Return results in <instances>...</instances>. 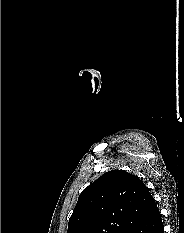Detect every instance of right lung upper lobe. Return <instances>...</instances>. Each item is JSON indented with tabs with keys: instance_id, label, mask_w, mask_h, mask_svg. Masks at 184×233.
<instances>
[{
	"instance_id": "1",
	"label": "right lung upper lobe",
	"mask_w": 184,
	"mask_h": 233,
	"mask_svg": "<svg viewBox=\"0 0 184 233\" xmlns=\"http://www.w3.org/2000/svg\"><path fill=\"white\" fill-rule=\"evenodd\" d=\"M156 207L137 176L112 170L81 192L67 233H128Z\"/></svg>"
}]
</instances>
